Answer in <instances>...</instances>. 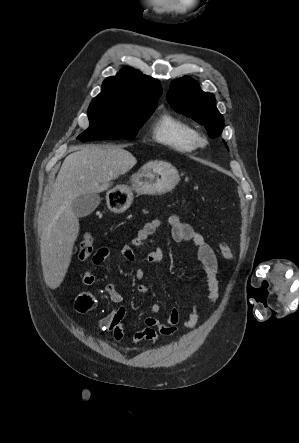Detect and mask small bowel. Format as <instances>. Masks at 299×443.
I'll return each instance as SVG.
<instances>
[{"label": "small bowel", "instance_id": "obj_1", "mask_svg": "<svg viewBox=\"0 0 299 443\" xmlns=\"http://www.w3.org/2000/svg\"><path fill=\"white\" fill-rule=\"evenodd\" d=\"M162 221L154 219L147 222L144 227L139 230L137 235L132 239L130 244H122L120 252L122 256L129 262L136 260L134 248H145L147 243L153 242V235L161 226ZM167 223L171 226L172 237L177 242L191 241L197 247V256L201 267L203 268L208 290L209 301L214 303L218 298L219 286L217 278L218 264L214 251L206 242L205 238L198 233L192 226L184 223L177 215H171L167 218ZM110 251L108 248H100L93 256V267L89 268L83 275V283L87 286L95 284V270L108 257ZM147 260L150 263H160L163 260V252L160 249L150 250L147 253ZM147 276L144 269H136L134 271V278L136 280H143ZM105 290L109 294L114 303L120 304L123 301V296L116 289L115 285L110 282L105 286ZM142 295L149 293V288L145 284H140L137 288ZM96 299L93 293L89 291L82 292L76 299V308L80 312H88L94 309ZM160 306L157 303H152L149 306L150 316L144 319V327L136 331L132 336V344L138 345L143 341H156L159 336L171 337L177 332V325L180 321V312L177 308H173L165 320H160L153 315L159 313ZM198 306L194 302L185 322V326L193 329L198 323ZM102 331L110 333L114 340L118 343L122 342L124 338V330L127 326L126 311L123 306H119L105 315L99 322Z\"/></svg>", "mask_w": 299, "mask_h": 443}]
</instances>
